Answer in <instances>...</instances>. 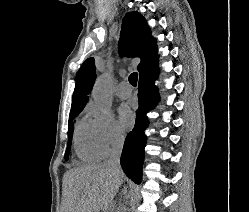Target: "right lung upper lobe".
I'll return each instance as SVG.
<instances>
[{
	"mask_svg": "<svg viewBox=\"0 0 249 212\" xmlns=\"http://www.w3.org/2000/svg\"><path fill=\"white\" fill-rule=\"evenodd\" d=\"M118 47L122 56L141 58L137 67L139 74L158 59L156 40L151 37L145 18L138 12H130L124 17ZM95 78L94 58H88L76 77L71 110L85 107Z\"/></svg>",
	"mask_w": 249,
	"mask_h": 212,
	"instance_id": "cb5924a9",
	"label": "right lung upper lobe"
}]
</instances>
